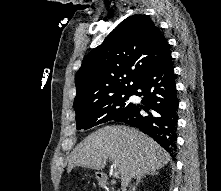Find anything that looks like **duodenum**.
<instances>
[{"mask_svg": "<svg viewBox=\"0 0 221 191\" xmlns=\"http://www.w3.org/2000/svg\"><path fill=\"white\" fill-rule=\"evenodd\" d=\"M98 181H99V184L103 187H106V188L112 187V183L107 175L99 174Z\"/></svg>", "mask_w": 221, "mask_h": 191, "instance_id": "410a0bca", "label": "duodenum"}]
</instances>
